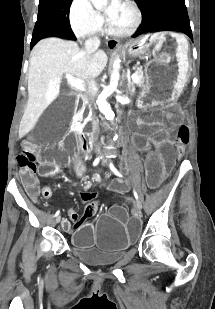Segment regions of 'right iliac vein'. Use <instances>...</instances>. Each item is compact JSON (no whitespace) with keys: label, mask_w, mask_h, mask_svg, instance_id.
I'll return each instance as SVG.
<instances>
[{"label":"right iliac vein","mask_w":215,"mask_h":309,"mask_svg":"<svg viewBox=\"0 0 215 309\" xmlns=\"http://www.w3.org/2000/svg\"><path fill=\"white\" fill-rule=\"evenodd\" d=\"M60 220H61V217H60V216H58V217L54 220V224L59 223V222H60Z\"/></svg>","instance_id":"right-iliac-vein-1"}]
</instances>
